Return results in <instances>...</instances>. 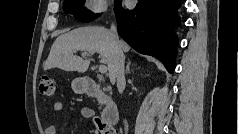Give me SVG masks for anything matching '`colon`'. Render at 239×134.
<instances>
[{
    "instance_id": "1",
    "label": "colon",
    "mask_w": 239,
    "mask_h": 134,
    "mask_svg": "<svg viewBox=\"0 0 239 134\" xmlns=\"http://www.w3.org/2000/svg\"><path fill=\"white\" fill-rule=\"evenodd\" d=\"M39 91L45 96H52L55 92V83L52 77L43 75L39 82ZM96 126L101 134H114L111 126L107 125L100 119L95 120Z\"/></svg>"
}]
</instances>
